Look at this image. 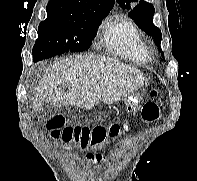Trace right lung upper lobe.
Segmentation results:
<instances>
[{
  "label": "right lung upper lobe",
  "instance_id": "right-lung-upper-lobe-1",
  "mask_svg": "<svg viewBox=\"0 0 197 181\" xmlns=\"http://www.w3.org/2000/svg\"><path fill=\"white\" fill-rule=\"evenodd\" d=\"M114 6V0H51L47 14L63 17L107 14Z\"/></svg>",
  "mask_w": 197,
  "mask_h": 181
}]
</instances>
